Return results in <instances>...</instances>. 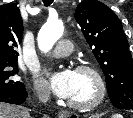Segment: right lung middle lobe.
<instances>
[{
	"label": "right lung middle lobe",
	"instance_id": "dd1d6c3e",
	"mask_svg": "<svg viewBox=\"0 0 133 118\" xmlns=\"http://www.w3.org/2000/svg\"><path fill=\"white\" fill-rule=\"evenodd\" d=\"M18 63L13 61H0V91L17 89L23 85L16 80Z\"/></svg>",
	"mask_w": 133,
	"mask_h": 118
}]
</instances>
